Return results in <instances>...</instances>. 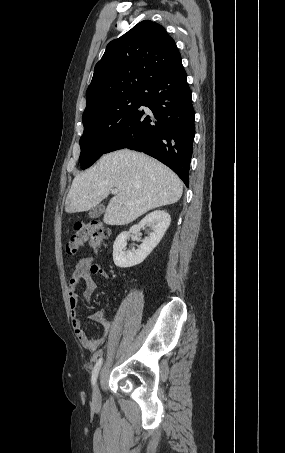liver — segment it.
<instances>
[{"instance_id": "6515ba94", "label": "liver", "mask_w": 285, "mask_h": 453, "mask_svg": "<svg viewBox=\"0 0 285 453\" xmlns=\"http://www.w3.org/2000/svg\"><path fill=\"white\" fill-rule=\"evenodd\" d=\"M113 188L118 193L103 218L108 225L128 224L151 209L176 203L183 193L181 180L168 167L145 154L122 149L105 154L74 178L65 211H88Z\"/></svg>"}]
</instances>
